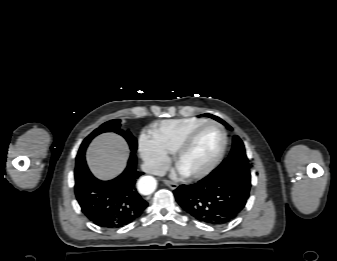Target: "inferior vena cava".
<instances>
[{"label": "inferior vena cava", "instance_id": "602c4592", "mask_svg": "<svg viewBox=\"0 0 337 261\" xmlns=\"http://www.w3.org/2000/svg\"><path fill=\"white\" fill-rule=\"evenodd\" d=\"M141 169L142 171L149 173V174H153V175H157V176H164L165 175V169L158 165V164H154V163H149V162H145L141 165Z\"/></svg>", "mask_w": 337, "mask_h": 261}]
</instances>
